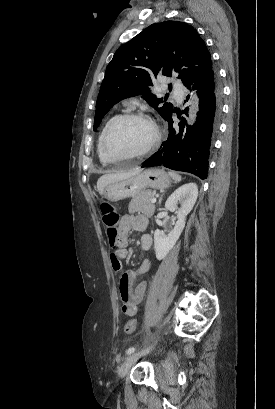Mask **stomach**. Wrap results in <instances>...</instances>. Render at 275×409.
<instances>
[{
    "label": "stomach",
    "instance_id": "obj_1",
    "mask_svg": "<svg viewBox=\"0 0 275 409\" xmlns=\"http://www.w3.org/2000/svg\"><path fill=\"white\" fill-rule=\"evenodd\" d=\"M171 178L163 168H146L140 174L129 176L124 180L110 182L103 190L105 198L108 200H121L128 196H136L146 188H168Z\"/></svg>",
    "mask_w": 275,
    "mask_h": 409
}]
</instances>
